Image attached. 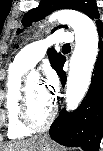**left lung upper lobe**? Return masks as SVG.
I'll return each mask as SVG.
<instances>
[{"label":"left lung upper lobe","mask_w":103,"mask_h":151,"mask_svg":"<svg viewBox=\"0 0 103 151\" xmlns=\"http://www.w3.org/2000/svg\"><path fill=\"white\" fill-rule=\"evenodd\" d=\"M58 9H75L83 12L91 19H99L100 15L95 0H41L37 8L28 11L23 19L22 24L26 27L31 26L34 22L43 19L46 15ZM97 27L103 28L101 20L96 21ZM66 26H60V28ZM57 28L52 30L54 32ZM20 33V29L17 31ZM48 57L51 66L58 72L65 57L61 53H57L54 49L48 50Z\"/></svg>","instance_id":"left-lung-upper-lobe-1"}]
</instances>
